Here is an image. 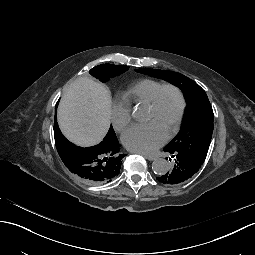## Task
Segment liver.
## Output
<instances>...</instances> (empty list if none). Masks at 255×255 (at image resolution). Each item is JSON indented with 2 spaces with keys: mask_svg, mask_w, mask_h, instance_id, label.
<instances>
[{
  "mask_svg": "<svg viewBox=\"0 0 255 255\" xmlns=\"http://www.w3.org/2000/svg\"><path fill=\"white\" fill-rule=\"evenodd\" d=\"M111 94L89 77H79L63 93L57 112L64 136L82 147L99 144L111 123Z\"/></svg>",
  "mask_w": 255,
  "mask_h": 255,
  "instance_id": "1",
  "label": "liver"
}]
</instances>
